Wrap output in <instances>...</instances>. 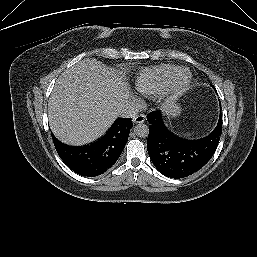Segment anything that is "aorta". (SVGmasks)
I'll use <instances>...</instances> for the list:
<instances>
[{
	"mask_svg": "<svg viewBox=\"0 0 257 257\" xmlns=\"http://www.w3.org/2000/svg\"><path fill=\"white\" fill-rule=\"evenodd\" d=\"M134 132L138 137L145 138L149 134L148 126L144 123H139L134 127Z\"/></svg>",
	"mask_w": 257,
	"mask_h": 257,
	"instance_id": "aorta-1",
	"label": "aorta"
}]
</instances>
